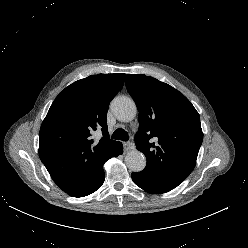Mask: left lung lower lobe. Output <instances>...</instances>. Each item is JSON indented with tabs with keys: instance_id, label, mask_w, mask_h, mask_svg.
Masks as SVG:
<instances>
[{
	"instance_id": "1",
	"label": "left lung lower lobe",
	"mask_w": 248,
	"mask_h": 248,
	"mask_svg": "<svg viewBox=\"0 0 248 248\" xmlns=\"http://www.w3.org/2000/svg\"><path fill=\"white\" fill-rule=\"evenodd\" d=\"M132 180L141 189L151 194H154V193L160 194V193H165V192L172 190L169 187L153 183L151 178L147 174H145L143 171L132 173Z\"/></svg>"
}]
</instances>
